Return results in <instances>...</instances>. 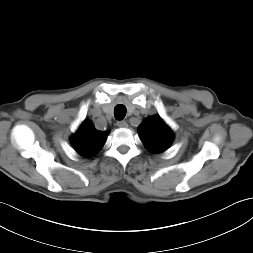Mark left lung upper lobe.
I'll return each mask as SVG.
<instances>
[{
	"label": "left lung upper lobe",
	"mask_w": 253,
	"mask_h": 253,
	"mask_svg": "<svg viewBox=\"0 0 253 253\" xmlns=\"http://www.w3.org/2000/svg\"><path fill=\"white\" fill-rule=\"evenodd\" d=\"M138 131L145 146L153 153L166 150L173 141V133L158 115L145 119Z\"/></svg>",
	"instance_id": "left-lung-upper-lobe-1"
}]
</instances>
